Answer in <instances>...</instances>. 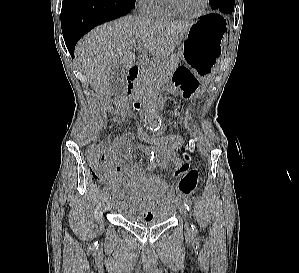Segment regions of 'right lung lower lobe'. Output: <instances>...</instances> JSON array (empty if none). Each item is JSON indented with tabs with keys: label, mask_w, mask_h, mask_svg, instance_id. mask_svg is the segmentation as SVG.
Returning <instances> with one entry per match:
<instances>
[{
	"label": "right lung lower lobe",
	"mask_w": 299,
	"mask_h": 273,
	"mask_svg": "<svg viewBox=\"0 0 299 273\" xmlns=\"http://www.w3.org/2000/svg\"><path fill=\"white\" fill-rule=\"evenodd\" d=\"M134 6L135 0H63L61 26L71 56L83 35L99 24L126 15Z\"/></svg>",
	"instance_id": "obj_1"
}]
</instances>
